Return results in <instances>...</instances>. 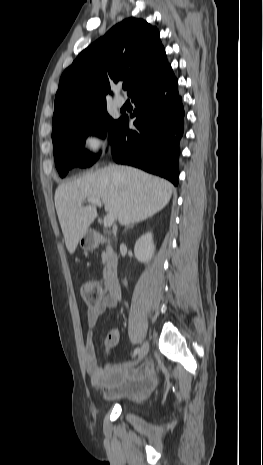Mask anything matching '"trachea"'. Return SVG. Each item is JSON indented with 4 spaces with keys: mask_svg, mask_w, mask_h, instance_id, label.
<instances>
[{
    "mask_svg": "<svg viewBox=\"0 0 263 465\" xmlns=\"http://www.w3.org/2000/svg\"><path fill=\"white\" fill-rule=\"evenodd\" d=\"M128 88V85H123V89L126 90Z\"/></svg>",
    "mask_w": 263,
    "mask_h": 465,
    "instance_id": "3493384b",
    "label": "trachea"
}]
</instances>
